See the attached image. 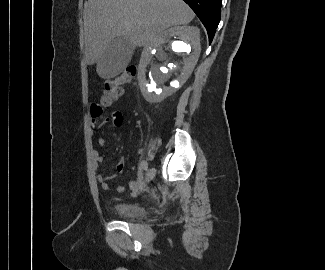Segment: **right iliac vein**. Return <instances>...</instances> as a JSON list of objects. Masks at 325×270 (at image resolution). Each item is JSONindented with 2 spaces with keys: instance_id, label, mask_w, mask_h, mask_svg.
Segmentation results:
<instances>
[{
  "instance_id": "63e3f726",
  "label": "right iliac vein",
  "mask_w": 325,
  "mask_h": 270,
  "mask_svg": "<svg viewBox=\"0 0 325 270\" xmlns=\"http://www.w3.org/2000/svg\"><path fill=\"white\" fill-rule=\"evenodd\" d=\"M154 176H155V169L154 168L149 169L147 174H146L145 181L149 182L150 180L153 179Z\"/></svg>"
}]
</instances>
